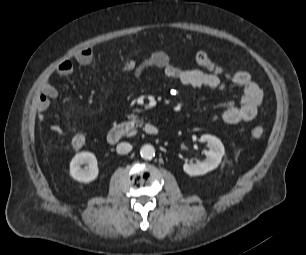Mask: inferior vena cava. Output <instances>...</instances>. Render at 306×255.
<instances>
[{
    "instance_id": "obj_1",
    "label": "inferior vena cava",
    "mask_w": 306,
    "mask_h": 255,
    "mask_svg": "<svg viewBox=\"0 0 306 255\" xmlns=\"http://www.w3.org/2000/svg\"><path fill=\"white\" fill-rule=\"evenodd\" d=\"M132 150V145L129 143H120L116 147V151L118 154H127Z\"/></svg>"
}]
</instances>
